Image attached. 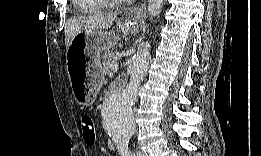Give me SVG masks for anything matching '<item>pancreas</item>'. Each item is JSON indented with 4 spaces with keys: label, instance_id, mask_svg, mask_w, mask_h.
Returning <instances> with one entry per match:
<instances>
[{
    "label": "pancreas",
    "instance_id": "obj_1",
    "mask_svg": "<svg viewBox=\"0 0 261 156\" xmlns=\"http://www.w3.org/2000/svg\"><path fill=\"white\" fill-rule=\"evenodd\" d=\"M117 55L118 54L116 52H111L108 54L106 61L102 64L100 69L102 75L109 74L112 66L117 64Z\"/></svg>",
    "mask_w": 261,
    "mask_h": 156
}]
</instances>
